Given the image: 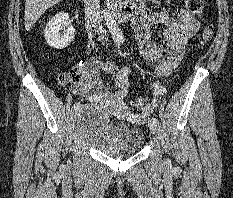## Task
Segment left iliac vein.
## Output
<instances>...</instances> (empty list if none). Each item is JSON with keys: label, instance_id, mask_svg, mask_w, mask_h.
Here are the masks:
<instances>
[{"label": "left iliac vein", "instance_id": "obj_1", "mask_svg": "<svg viewBox=\"0 0 233 198\" xmlns=\"http://www.w3.org/2000/svg\"><path fill=\"white\" fill-rule=\"evenodd\" d=\"M148 126H149L150 131H151L153 134H156V133H157V130H158L157 124H155L152 120L149 121Z\"/></svg>", "mask_w": 233, "mask_h": 198}]
</instances>
